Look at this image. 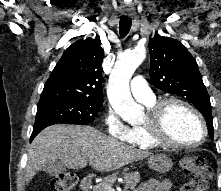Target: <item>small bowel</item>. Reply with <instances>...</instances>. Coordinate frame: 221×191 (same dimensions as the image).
I'll use <instances>...</instances> for the list:
<instances>
[{
  "label": "small bowel",
  "instance_id": "small-bowel-1",
  "mask_svg": "<svg viewBox=\"0 0 221 191\" xmlns=\"http://www.w3.org/2000/svg\"><path fill=\"white\" fill-rule=\"evenodd\" d=\"M173 187L174 183L171 180H147L140 184L135 191H172Z\"/></svg>",
  "mask_w": 221,
  "mask_h": 191
}]
</instances>
